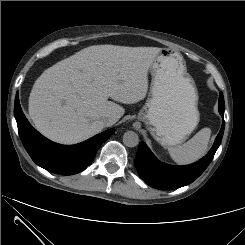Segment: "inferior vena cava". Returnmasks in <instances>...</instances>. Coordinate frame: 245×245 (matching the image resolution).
Wrapping results in <instances>:
<instances>
[{
  "label": "inferior vena cava",
  "mask_w": 245,
  "mask_h": 245,
  "mask_svg": "<svg viewBox=\"0 0 245 245\" xmlns=\"http://www.w3.org/2000/svg\"><path fill=\"white\" fill-rule=\"evenodd\" d=\"M104 121L105 122H110V123H115L116 122V119L114 117H111V116H106L104 118Z\"/></svg>",
  "instance_id": "obj_1"
}]
</instances>
